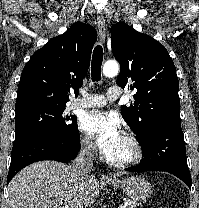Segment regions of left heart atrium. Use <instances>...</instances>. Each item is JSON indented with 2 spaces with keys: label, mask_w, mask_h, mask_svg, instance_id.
Instances as JSON below:
<instances>
[{
  "label": "left heart atrium",
  "mask_w": 199,
  "mask_h": 208,
  "mask_svg": "<svg viewBox=\"0 0 199 208\" xmlns=\"http://www.w3.org/2000/svg\"><path fill=\"white\" fill-rule=\"evenodd\" d=\"M80 129L93 137L102 152L107 155L122 138L118 118L103 111H91L80 120Z\"/></svg>",
  "instance_id": "39dd6f15"
}]
</instances>
